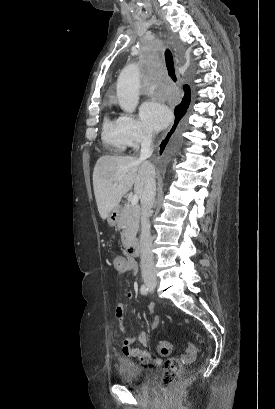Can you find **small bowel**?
<instances>
[{
	"label": "small bowel",
	"instance_id": "1",
	"mask_svg": "<svg viewBox=\"0 0 275 409\" xmlns=\"http://www.w3.org/2000/svg\"><path fill=\"white\" fill-rule=\"evenodd\" d=\"M123 259V273L126 272H132L136 274L138 272V264L136 261H129L125 258ZM133 296V293L130 291L128 292V297L131 298ZM147 310L149 313L154 312V305L152 303L147 304ZM114 314L115 317L120 320L117 322L118 326L122 325L121 320L123 319L125 315V307L122 302H118L115 306L114 309ZM159 317L158 316H152L151 320L149 321L148 328L151 330H154L158 327L159 325ZM135 342H137L141 346H145L147 343V334L146 332L142 331L138 334L136 340L134 337H126L124 339V344H123V352L126 355V358L128 360H138L140 359L141 362L143 363H150L154 366H159L161 365L162 361L160 358H152L149 353L146 351L141 350L140 348H133L132 346L135 345Z\"/></svg>",
	"mask_w": 275,
	"mask_h": 409
}]
</instances>
